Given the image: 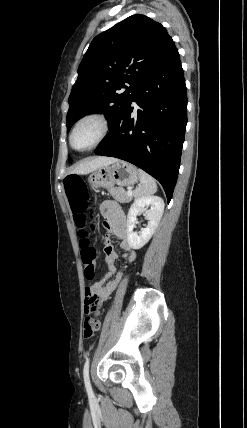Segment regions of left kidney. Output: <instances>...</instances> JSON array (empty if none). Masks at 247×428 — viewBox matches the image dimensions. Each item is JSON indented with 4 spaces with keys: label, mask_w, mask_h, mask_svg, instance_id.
<instances>
[{
    "label": "left kidney",
    "mask_w": 247,
    "mask_h": 428,
    "mask_svg": "<svg viewBox=\"0 0 247 428\" xmlns=\"http://www.w3.org/2000/svg\"><path fill=\"white\" fill-rule=\"evenodd\" d=\"M163 211L164 201L161 197L145 196L134 200L127 216V241L132 249H140L150 240L161 220ZM143 212L148 219V225L138 235L133 230L137 223V215Z\"/></svg>",
    "instance_id": "obj_1"
}]
</instances>
